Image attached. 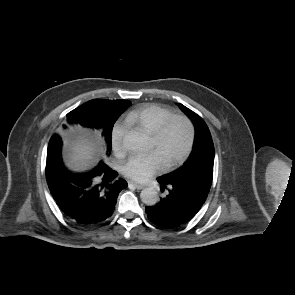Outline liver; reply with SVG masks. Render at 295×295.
I'll use <instances>...</instances> for the list:
<instances>
[{"instance_id":"6515ba94","label":"liver","mask_w":295,"mask_h":295,"mask_svg":"<svg viewBox=\"0 0 295 295\" xmlns=\"http://www.w3.org/2000/svg\"><path fill=\"white\" fill-rule=\"evenodd\" d=\"M94 162V147L89 142H81L73 147L68 163L75 170H84Z\"/></svg>"}]
</instances>
